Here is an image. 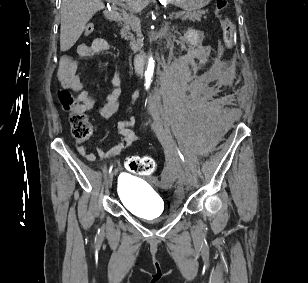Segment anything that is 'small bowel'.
Listing matches in <instances>:
<instances>
[{
  "mask_svg": "<svg viewBox=\"0 0 308 283\" xmlns=\"http://www.w3.org/2000/svg\"><path fill=\"white\" fill-rule=\"evenodd\" d=\"M109 49V44L105 39H95L91 44H82L78 47V54L81 57H91L95 54L106 52ZM58 79L64 89H69L78 93L80 102L79 110L82 112L92 109L96 101L84 89L79 73L78 65L71 57H63L60 61L58 69ZM113 90L107 95L105 102L98 106V112L104 119H109L117 111L118 99L121 95L120 77L116 74L113 78ZM137 98L133 95L131 105L127 109V118L117 123V132L122 137L121 142L110 150L97 149L95 153L89 152L84 145V140H76V149L78 153L86 160L93 162L96 157L107 158L119 153L121 150L131 146L137 139V134L132 130L134 125V117L131 113L132 105Z\"/></svg>",
  "mask_w": 308,
  "mask_h": 283,
  "instance_id": "small-bowel-1",
  "label": "small bowel"
}]
</instances>
